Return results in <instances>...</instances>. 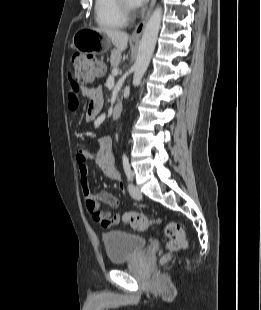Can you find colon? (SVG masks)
<instances>
[{
	"label": "colon",
	"instance_id": "5ec220e1",
	"mask_svg": "<svg viewBox=\"0 0 261 310\" xmlns=\"http://www.w3.org/2000/svg\"><path fill=\"white\" fill-rule=\"evenodd\" d=\"M75 70V79L78 83H90L103 71V65L86 54H76L72 59ZM124 223L136 230H146L152 226H160L163 235L167 238V254L162 258V262H167L180 250L186 247V237L182 226L174 221L164 222L161 218H151L136 212H126L122 215Z\"/></svg>",
	"mask_w": 261,
	"mask_h": 310
}]
</instances>
